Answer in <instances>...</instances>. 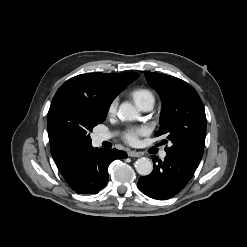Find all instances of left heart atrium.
I'll list each match as a JSON object with an SVG mask.
<instances>
[{
	"instance_id": "obj_1",
	"label": "left heart atrium",
	"mask_w": 247,
	"mask_h": 247,
	"mask_svg": "<svg viewBox=\"0 0 247 247\" xmlns=\"http://www.w3.org/2000/svg\"><path fill=\"white\" fill-rule=\"evenodd\" d=\"M144 134H146V130L144 128H130L126 131L124 139L129 144H136L139 137Z\"/></svg>"
}]
</instances>
